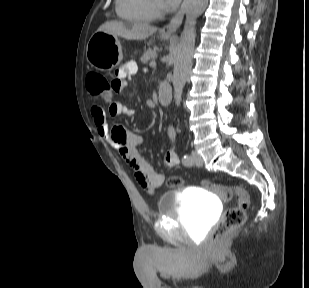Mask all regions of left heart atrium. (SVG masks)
<instances>
[{
	"label": "left heart atrium",
	"mask_w": 309,
	"mask_h": 288,
	"mask_svg": "<svg viewBox=\"0 0 309 288\" xmlns=\"http://www.w3.org/2000/svg\"><path fill=\"white\" fill-rule=\"evenodd\" d=\"M179 1L180 0H166V2L171 6L177 5Z\"/></svg>",
	"instance_id": "39dd6f15"
}]
</instances>
